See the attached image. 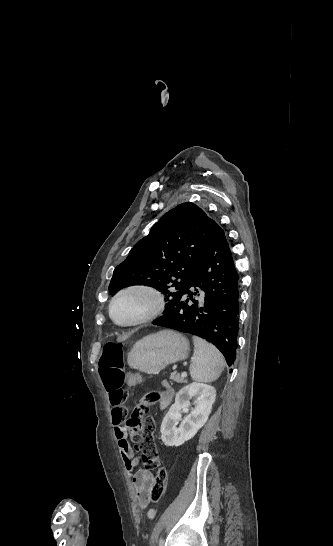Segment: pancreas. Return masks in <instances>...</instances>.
Instances as JSON below:
<instances>
[{
    "mask_svg": "<svg viewBox=\"0 0 333 546\" xmlns=\"http://www.w3.org/2000/svg\"><path fill=\"white\" fill-rule=\"evenodd\" d=\"M170 379L175 381V382H180V383H186L187 382L185 377H181L180 374H178L176 372L171 373Z\"/></svg>",
    "mask_w": 333,
    "mask_h": 546,
    "instance_id": "1",
    "label": "pancreas"
}]
</instances>
